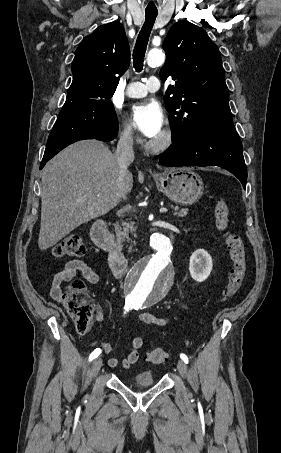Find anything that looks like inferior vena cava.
<instances>
[{
  "label": "inferior vena cava",
  "instance_id": "602c4592",
  "mask_svg": "<svg viewBox=\"0 0 281 453\" xmlns=\"http://www.w3.org/2000/svg\"><path fill=\"white\" fill-rule=\"evenodd\" d=\"M115 156L118 162V188L121 192V196L125 198V194L122 192L123 186H125V176L127 172H129L128 166L130 162H133L134 160L133 134L131 130L122 132L118 140Z\"/></svg>",
  "mask_w": 281,
  "mask_h": 453
}]
</instances>
